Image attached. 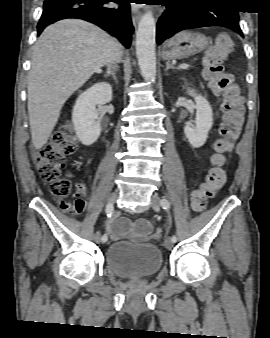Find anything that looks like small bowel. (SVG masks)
<instances>
[{
	"instance_id": "c3829d8e",
	"label": "small bowel",
	"mask_w": 270,
	"mask_h": 338,
	"mask_svg": "<svg viewBox=\"0 0 270 338\" xmlns=\"http://www.w3.org/2000/svg\"><path fill=\"white\" fill-rule=\"evenodd\" d=\"M81 199L79 195H76L74 200ZM117 214L114 213L112 218L107 220L105 230L111 235L113 239H122L129 237L136 240L151 241L154 239L152 234V227L150 223L145 219H139L135 222L132 231L127 229V219L117 220Z\"/></svg>"
}]
</instances>
